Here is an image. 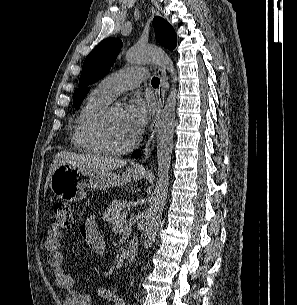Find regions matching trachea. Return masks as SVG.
Masks as SVG:
<instances>
[{"mask_svg":"<svg viewBox=\"0 0 297 305\" xmlns=\"http://www.w3.org/2000/svg\"><path fill=\"white\" fill-rule=\"evenodd\" d=\"M159 83H160V79L159 78H157V77H153L152 78L151 84H152L153 87H158Z\"/></svg>","mask_w":297,"mask_h":305,"instance_id":"trachea-1","label":"trachea"}]
</instances>
